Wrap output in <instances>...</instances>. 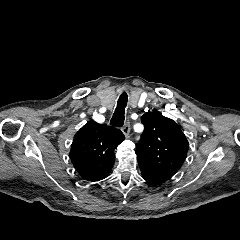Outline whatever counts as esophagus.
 I'll list each match as a JSON object with an SVG mask.
<instances>
[{"label": "esophagus", "instance_id": "34e87169", "mask_svg": "<svg viewBox=\"0 0 240 240\" xmlns=\"http://www.w3.org/2000/svg\"><path fill=\"white\" fill-rule=\"evenodd\" d=\"M122 132L124 134L125 137H128L129 136V133H130V123L127 122L123 128H122Z\"/></svg>", "mask_w": 240, "mask_h": 240}]
</instances>
